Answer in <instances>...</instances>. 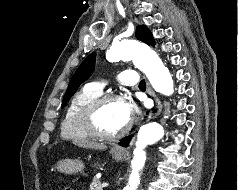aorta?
Returning a JSON list of instances; mask_svg holds the SVG:
<instances>
[{"label":"aorta","mask_w":238,"mask_h":190,"mask_svg":"<svg viewBox=\"0 0 238 190\" xmlns=\"http://www.w3.org/2000/svg\"><path fill=\"white\" fill-rule=\"evenodd\" d=\"M107 59L111 62L119 60H132L133 63L145 73L150 84L156 92L170 96L173 94V80L167 67L146 44L136 40H121L112 44L107 51ZM164 136V129L158 122L143 125L137 135L132 161V174L124 190H136L139 185V171L142 169L146 156L144 149L155 144Z\"/></svg>","instance_id":"762f6f07"}]
</instances>
